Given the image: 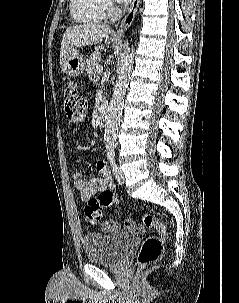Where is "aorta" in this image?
<instances>
[{
	"instance_id": "obj_1",
	"label": "aorta",
	"mask_w": 239,
	"mask_h": 303,
	"mask_svg": "<svg viewBox=\"0 0 239 303\" xmlns=\"http://www.w3.org/2000/svg\"><path fill=\"white\" fill-rule=\"evenodd\" d=\"M133 59V49H128L121 60L118 79L116 80L105 117L104 140L106 142L114 143L116 141V136L120 125V118L124 106V97L133 69Z\"/></svg>"
}]
</instances>
